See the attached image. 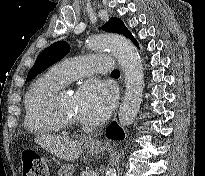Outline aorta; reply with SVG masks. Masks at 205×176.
Masks as SVG:
<instances>
[{"label":"aorta","instance_id":"1","mask_svg":"<svg viewBox=\"0 0 205 176\" xmlns=\"http://www.w3.org/2000/svg\"><path fill=\"white\" fill-rule=\"evenodd\" d=\"M86 45L91 50L109 49L118 59L125 77V96L119 109V124L130 125L136 118L142 101L144 70L135 46L118 34H99L88 38ZM109 176H116L115 170Z\"/></svg>","mask_w":205,"mask_h":176}]
</instances>
